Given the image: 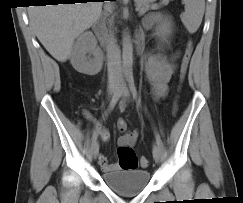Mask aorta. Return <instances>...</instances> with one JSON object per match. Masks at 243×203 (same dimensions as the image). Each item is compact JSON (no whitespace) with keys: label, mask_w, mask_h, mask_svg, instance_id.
<instances>
[{"label":"aorta","mask_w":243,"mask_h":203,"mask_svg":"<svg viewBox=\"0 0 243 203\" xmlns=\"http://www.w3.org/2000/svg\"><path fill=\"white\" fill-rule=\"evenodd\" d=\"M122 65L125 73H130L133 66V45L128 33L123 35Z\"/></svg>","instance_id":"aorta-1"}]
</instances>
